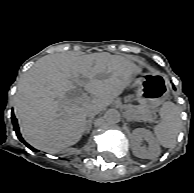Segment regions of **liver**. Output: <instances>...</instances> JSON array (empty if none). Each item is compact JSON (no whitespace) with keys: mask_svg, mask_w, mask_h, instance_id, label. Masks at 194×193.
<instances>
[{"mask_svg":"<svg viewBox=\"0 0 194 193\" xmlns=\"http://www.w3.org/2000/svg\"><path fill=\"white\" fill-rule=\"evenodd\" d=\"M141 68L107 52L76 56L46 55L20 79L14 111L23 138L36 149L59 153L76 144L87 126V113L109 106ZM76 83L90 93L68 99Z\"/></svg>","mask_w":194,"mask_h":193,"instance_id":"liver-1","label":"liver"}]
</instances>
